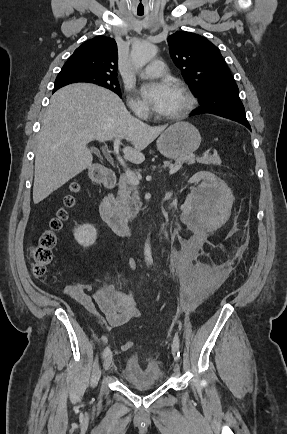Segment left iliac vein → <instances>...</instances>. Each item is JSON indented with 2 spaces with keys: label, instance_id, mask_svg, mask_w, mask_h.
Listing matches in <instances>:
<instances>
[{
  "label": "left iliac vein",
  "instance_id": "1",
  "mask_svg": "<svg viewBox=\"0 0 287 434\" xmlns=\"http://www.w3.org/2000/svg\"><path fill=\"white\" fill-rule=\"evenodd\" d=\"M171 350H172V355H173V357H174V359L176 360L177 359V356H178V348H177V346L173 343L172 344V348H171ZM179 365L178 364H175V366H174V371L175 372H178L179 371Z\"/></svg>",
  "mask_w": 287,
  "mask_h": 434
}]
</instances>
